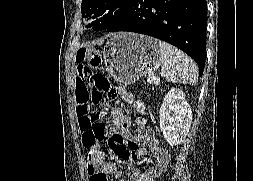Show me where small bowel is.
I'll use <instances>...</instances> for the list:
<instances>
[{
    "instance_id": "c3829d8e",
    "label": "small bowel",
    "mask_w": 253,
    "mask_h": 181,
    "mask_svg": "<svg viewBox=\"0 0 253 181\" xmlns=\"http://www.w3.org/2000/svg\"><path fill=\"white\" fill-rule=\"evenodd\" d=\"M89 71L86 67L79 65L75 72V100L76 112L78 117L81 115L83 108L82 98L87 92V78ZM120 102L132 104L139 113L145 111V105L142 101L137 100L134 93L121 90ZM112 122L110 128L109 147L111 153L118 159L129 162L147 155L152 157L144 171L133 169L127 175L123 173L117 163L113 160H102L99 163L88 160L87 171L90 181H110L108 175L113 176L117 181H152L162 172L166 171L170 156L163 149L158 140L153 136L152 131L141 126L139 135L132 136L129 132L130 118L124 114L119 107H114L111 111Z\"/></svg>"
}]
</instances>
